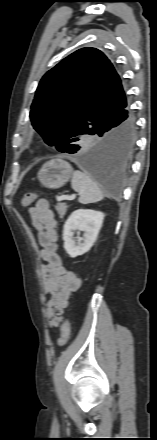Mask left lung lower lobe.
Here are the masks:
<instances>
[{
    "mask_svg": "<svg viewBox=\"0 0 157 440\" xmlns=\"http://www.w3.org/2000/svg\"><path fill=\"white\" fill-rule=\"evenodd\" d=\"M94 134L102 137L94 148L77 143L64 152L73 154L83 169L114 190L128 169L135 141V119L128 102L110 112Z\"/></svg>",
    "mask_w": 157,
    "mask_h": 440,
    "instance_id": "left-lung-lower-lobe-1",
    "label": "left lung lower lobe"
}]
</instances>
